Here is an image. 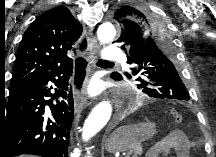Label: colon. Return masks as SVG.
Wrapping results in <instances>:
<instances>
[{
    "label": "colon",
    "instance_id": "5ec220e1",
    "mask_svg": "<svg viewBox=\"0 0 216 157\" xmlns=\"http://www.w3.org/2000/svg\"><path fill=\"white\" fill-rule=\"evenodd\" d=\"M170 115L172 117V120L175 122V123H181L182 120H183V117L181 115V113L177 110V109H172L170 111Z\"/></svg>",
    "mask_w": 216,
    "mask_h": 157
}]
</instances>
